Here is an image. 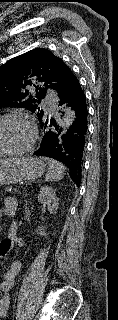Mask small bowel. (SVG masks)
I'll return each mask as SVG.
<instances>
[{
    "label": "small bowel",
    "instance_id": "c3829d8e",
    "mask_svg": "<svg viewBox=\"0 0 118 320\" xmlns=\"http://www.w3.org/2000/svg\"><path fill=\"white\" fill-rule=\"evenodd\" d=\"M3 204L6 213L10 214L13 212V209L15 208V201L13 198L4 197ZM12 232H14V228L12 229ZM14 244L15 243L12 244L11 248L14 246ZM21 267V262L16 261L12 263L3 274L2 280L0 282V317L5 316L8 312V309L10 307L9 291L14 286L15 280L21 270Z\"/></svg>",
    "mask_w": 118,
    "mask_h": 320
}]
</instances>
